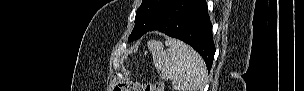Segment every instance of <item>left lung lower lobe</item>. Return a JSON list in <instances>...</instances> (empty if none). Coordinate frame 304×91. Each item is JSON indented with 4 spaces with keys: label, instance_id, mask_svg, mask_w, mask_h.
Segmentation results:
<instances>
[{
    "label": "left lung lower lobe",
    "instance_id": "left-lung-lower-lobe-1",
    "mask_svg": "<svg viewBox=\"0 0 304 91\" xmlns=\"http://www.w3.org/2000/svg\"><path fill=\"white\" fill-rule=\"evenodd\" d=\"M153 30L164 32L192 46L203 57L210 71L215 46L205 0H172L148 31Z\"/></svg>",
    "mask_w": 304,
    "mask_h": 91
}]
</instances>
